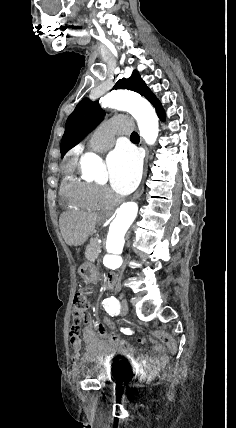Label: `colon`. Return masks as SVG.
I'll list each match as a JSON object with an SVG mask.
<instances>
[{"label": "colon", "mask_w": 236, "mask_h": 428, "mask_svg": "<svg viewBox=\"0 0 236 428\" xmlns=\"http://www.w3.org/2000/svg\"><path fill=\"white\" fill-rule=\"evenodd\" d=\"M90 294V289L88 287H81L75 294L73 300V317L72 325L70 329V336L76 337L81 329V326L85 321V312L88 308V296ZM102 326L106 325L108 327L115 328L118 324L110 319H104ZM159 342L165 345L169 351L175 355L177 353L178 347L176 341L164 331H151L150 332Z\"/></svg>", "instance_id": "obj_1"}]
</instances>
